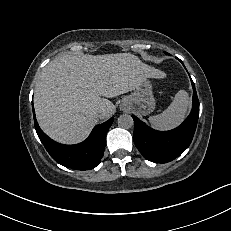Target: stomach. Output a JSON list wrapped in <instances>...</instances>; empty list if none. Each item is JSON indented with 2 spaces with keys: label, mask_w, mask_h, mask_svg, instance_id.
<instances>
[{
  "label": "stomach",
  "mask_w": 231,
  "mask_h": 231,
  "mask_svg": "<svg viewBox=\"0 0 231 231\" xmlns=\"http://www.w3.org/2000/svg\"><path fill=\"white\" fill-rule=\"evenodd\" d=\"M152 89L151 81L148 78L143 80L131 94L122 99L120 108L134 111L139 115L150 114L156 106Z\"/></svg>",
  "instance_id": "stomach-1"
}]
</instances>
